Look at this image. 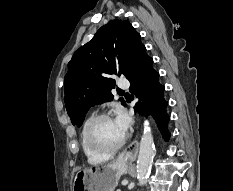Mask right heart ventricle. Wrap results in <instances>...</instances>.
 Listing matches in <instances>:
<instances>
[{
    "instance_id": "obj_1",
    "label": "right heart ventricle",
    "mask_w": 233,
    "mask_h": 191,
    "mask_svg": "<svg viewBox=\"0 0 233 191\" xmlns=\"http://www.w3.org/2000/svg\"><path fill=\"white\" fill-rule=\"evenodd\" d=\"M90 120H91V118H88L83 123L82 129H81V133H80L81 147H82L83 153L85 155V158L89 163L99 164L101 162H104L108 157L98 156V155L91 153L85 144V130H86V127H87Z\"/></svg>"
}]
</instances>
